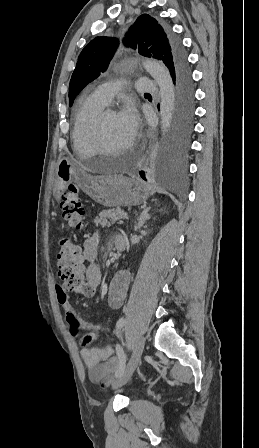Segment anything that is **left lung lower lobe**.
<instances>
[{
    "label": "left lung lower lobe",
    "instance_id": "0a47b994",
    "mask_svg": "<svg viewBox=\"0 0 259 448\" xmlns=\"http://www.w3.org/2000/svg\"><path fill=\"white\" fill-rule=\"evenodd\" d=\"M174 40L178 53L169 71L176 88V113L170 146L155 177L157 182L168 188L179 187L186 176L195 110L194 88L187 57L179 40ZM139 174L146 180L144 171Z\"/></svg>",
    "mask_w": 259,
    "mask_h": 448
}]
</instances>
